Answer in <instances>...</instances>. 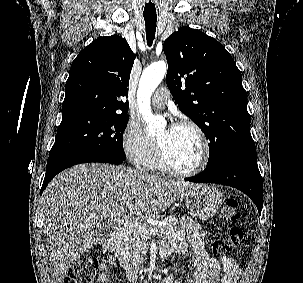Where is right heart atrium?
<instances>
[{
  "mask_svg": "<svg viewBox=\"0 0 303 283\" xmlns=\"http://www.w3.org/2000/svg\"><path fill=\"white\" fill-rule=\"evenodd\" d=\"M122 146L128 159L136 166H145L156 152V144L140 124L130 121L122 134Z\"/></svg>",
  "mask_w": 303,
  "mask_h": 283,
  "instance_id": "1",
  "label": "right heart atrium"
}]
</instances>
